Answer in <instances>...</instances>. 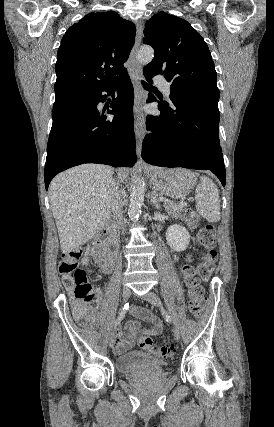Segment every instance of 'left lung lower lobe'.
<instances>
[{"instance_id": "obj_1", "label": "left lung lower lobe", "mask_w": 274, "mask_h": 427, "mask_svg": "<svg viewBox=\"0 0 274 427\" xmlns=\"http://www.w3.org/2000/svg\"><path fill=\"white\" fill-rule=\"evenodd\" d=\"M152 83L153 74H144ZM170 104L158 102L159 115L147 117L142 158L161 167L211 170L225 186L226 172L218 136V102L195 96L173 95ZM149 94L148 103L156 102Z\"/></svg>"}]
</instances>
